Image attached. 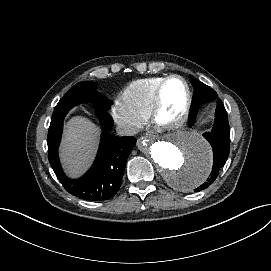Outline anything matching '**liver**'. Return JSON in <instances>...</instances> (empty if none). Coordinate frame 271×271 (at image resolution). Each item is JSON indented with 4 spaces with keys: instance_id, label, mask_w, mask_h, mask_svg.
Segmentation results:
<instances>
[{
    "instance_id": "liver-1",
    "label": "liver",
    "mask_w": 271,
    "mask_h": 271,
    "mask_svg": "<svg viewBox=\"0 0 271 271\" xmlns=\"http://www.w3.org/2000/svg\"><path fill=\"white\" fill-rule=\"evenodd\" d=\"M99 135V128L85 117L75 116L66 123L60 156L69 177H80L91 165Z\"/></svg>"
}]
</instances>
